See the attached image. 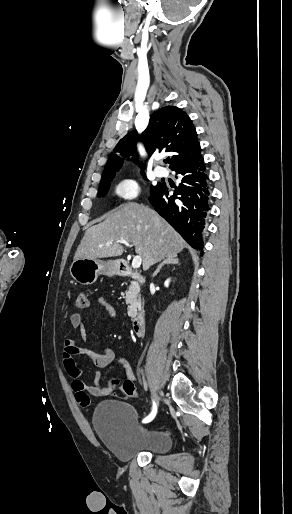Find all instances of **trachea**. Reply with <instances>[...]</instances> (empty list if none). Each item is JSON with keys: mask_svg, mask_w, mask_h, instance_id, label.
I'll return each instance as SVG.
<instances>
[{"mask_svg": "<svg viewBox=\"0 0 292 514\" xmlns=\"http://www.w3.org/2000/svg\"><path fill=\"white\" fill-rule=\"evenodd\" d=\"M168 161H169V159H165V160H164V163H165V164H167V163H168Z\"/></svg>", "mask_w": 292, "mask_h": 514, "instance_id": "trachea-1", "label": "trachea"}]
</instances>
